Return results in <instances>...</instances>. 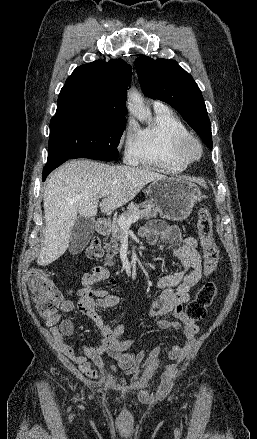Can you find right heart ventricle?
<instances>
[{"mask_svg": "<svg viewBox=\"0 0 257 439\" xmlns=\"http://www.w3.org/2000/svg\"><path fill=\"white\" fill-rule=\"evenodd\" d=\"M155 112L152 123L138 131V153L133 163L168 174L181 173L188 163L176 154L174 145L178 138L189 134L188 128L168 108Z\"/></svg>", "mask_w": 257, "mask_h": 439, "instance_id": "e07e8e85", "label": "right heart ventricle"}]
</instances>
